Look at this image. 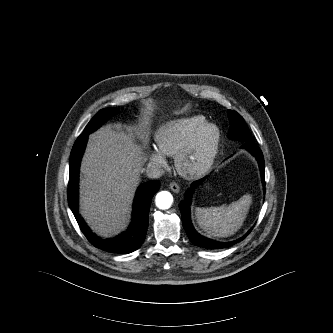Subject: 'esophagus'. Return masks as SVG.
I'll return each mask as SVG.
<instances>
[{"instance_id": "obj_1", "label": "esophagus", "mask_w": 333, "mask_h": 333, "mask_svg": "<svg viewBox=\"0 0 333 333\" xmlns=\"http://www.w3.org/2000/svg\"><path fill=\"white\" fill-rule=\"evenodd\" d=\"M169 187L174 193H179L180 191V186L176 182H171Z\"/></svg>"}]
</instances>
